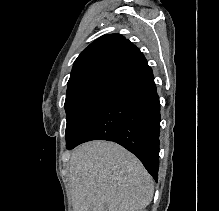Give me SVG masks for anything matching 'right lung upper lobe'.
Segmentation results:
<instances>
[{"label":"right lung upper lobe","instance_id":"1","mask_svg":"<svg viewBox=\"0 0 219 211\" xmlns=\"http://www.w3.org/2000/svg\"><path fill=\"white\" fill-rule=\"evenodd\" d=\"M147 65L142 52L122 35H104L84 49L75 60L66 98L96 86L115 87Z\"/></svg>","mask_w":219,"mask_h":211}]
</instances>
